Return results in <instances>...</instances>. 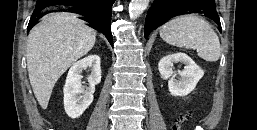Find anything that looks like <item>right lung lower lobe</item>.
Masks as SVG:
<instances>
[{"label":"right lung lower lobe","instance_id":"98d812e1","mask_svg":"<svg viewBox=\"0 0 257 130\" xmlns=\"http://www.w3.org/2000/svg\"><path fill=\"white\" fill-rule=\"evenodd\" d=\"M115 0H92L82 1L77 4L61 3L56 1H41L37 0L36 7L31 16L28 24V30L35 24L38 23V19L44 14L42 11L48 7L55 5H70L78 8V14L80 17L89 23V26L103 33L110 44L113 46L112 34H111V15L112 5Z\"/></svg>","mask_w":257,"mask_h":130}]
</instances>
